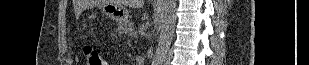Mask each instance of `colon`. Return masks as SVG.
<instances>
[{"mask_svg": "<svg viewBox=\"0 0 309 65\" xmlns=\"http://www.w3.org/2000/svg\"><path fill=\"white\" fill-rule=\"evenodd\" d=\"M83 54L86 65H103V60L94 47L89 45L84 46Z\"/></svg>", "mask_w": 309, "mask_h": 65, "instance_id": "1", "label": "colon"}]
</instances>
